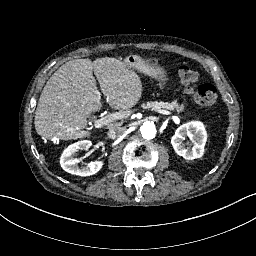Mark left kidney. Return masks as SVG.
<instances>
[{
  "label": "left kidney",
  "instance_id": "left-kidney-1",
  "mask_svg": "<svg viewBox=\"0 0 256 256\" xmlns=\"http://www.w3.org/2000/svg\"><path fill=\"white\" fill-rule=\"evenodd\" d=\"M189 137L193 147H185L182 141ZM207 141V132L201 121H191L182 124L171 138V144L175 152L186 160H193L203 156Z\"/></svg>",
  "mask_w": 256,
  "mask_h": 256
}]
</instances>
